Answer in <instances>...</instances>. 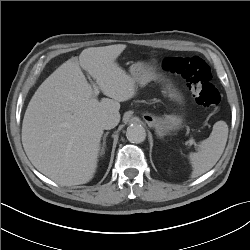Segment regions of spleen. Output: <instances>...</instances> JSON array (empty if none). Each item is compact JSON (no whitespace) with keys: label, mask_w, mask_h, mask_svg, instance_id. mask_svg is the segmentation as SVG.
<instances>
[{"label":"spleen","mask_w":250,"mask_h":250,"mask_svg":"<svg viewBox=\"0 0 250 250\" xmlns=\"http://www.w3.org/2000/svg\"><path fill=\"white\" fill-rule=\"evenodd\" d=\"M228 138V125L225 121H217L213 125L210 136L201 141L198 152L190 153L192 178H197L209 171L220 159Z\"/></svg>","instance_id":"spleen-1"}]
</instances>
